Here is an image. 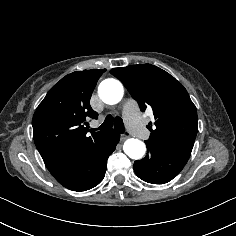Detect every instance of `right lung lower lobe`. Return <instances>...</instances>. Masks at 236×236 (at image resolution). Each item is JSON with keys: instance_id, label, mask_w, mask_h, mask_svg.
Segmentation results:
<instances>
[{"instance_id": "right-lung-lower-lobe-1", "label": "right lung lower lobe", "mask_w": 236, "mask_h": 236, "mask_svg": "<svg viewBox=\"0 0 236 236\" xmlns=\"http://www.w3.org/2000/svg\"><path fill=\"white\" fill-rule=\"evenodd\" d=\"M120 134L111 130L97 142L46 164L54 178L73 191H85L105 176L107 159L119 142Z\"/></svg>"}]
</instances>
